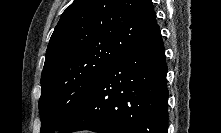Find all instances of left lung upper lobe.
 <instances>
[{"label": "left lung upper lobe", "mask_w": 221, "mask_h": 133, "mask_svg": "<svg viewBox=\"0 0 221 133\" xmlns=\"http://www.w3.org/2000/svg\"><path fill=\"white\" fill-rule=\"evenodd\" d=\"M156 25L151 0H75L51 36L41 76V133L60 131L108 66Z\"/></svg>", "instance_id": "5c2ea615"}]
</instances>
